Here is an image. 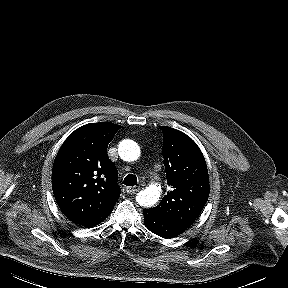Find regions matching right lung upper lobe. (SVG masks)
Returning <instances> with one entry per match:
<instances>
[{
	"label": "right lung upper lobe",
	"mask_w": 288,
	"mask_h": 288,
	"mask_svg": "<svg viewBox=\"0 0 288 288\" xmlns=\"http://www.w3.org/2000/svg\"><path fill=\"white\" fill-rule=\"evenodd\" d=\"M120 125L90 123L75 130L61 146L52 170L55 199L74 223L86 225L112 212L120 196L117 169L107 155Z\"/></svg>",
	"instance_id": "right-lung-upper-lobe-1"
}]
</instances>
